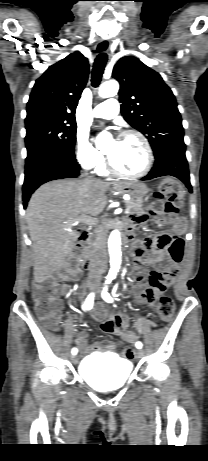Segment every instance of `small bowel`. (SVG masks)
<instances>
[{"label":"small bowel","instance_id":"c3829d8e","mask_svg":"<svg viewBox=\"0 0 208 461\" xmlns=\"http://www.w3.org/2000/svg\"><path fill=\"white\" fill-rule=\"evenodd\" d=\"M148 209H134L133 214H128L127 219L134 227L141 228L147 222ZM163 222V221H160ZM183 224L177 221L173 225H159L158 230L148 237H141L140 241L134 244L132 256L134 258L133 276L136 280L133 285L134 296L141 305L154 307L159 294L170 287L175 276L188 256L189 250L186 248V234H180ZM159 251H147V250ZM68 263H61L62 271H68L69 278H78L80 275V256H68ZM157 266V269L147 273L144 264ZM64 295L69 293V285L64 283L61 286ZM69 301L66 305L73 304ZM93 317L101 320L102 330L106 333L120 336L124 341H137V335L128 331V320L122 315H107L105 311L95 310ZM76 345L83 354H90L94 351L116 352L117 345L112 341H98L91 346L87 345V332H78Z\"/></svg>","mask_w":208,"mask_h":461}]
</instances>
